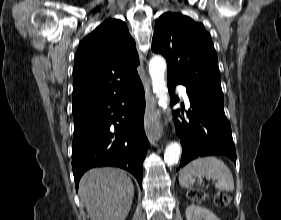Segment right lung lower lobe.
Segmentation results:
<instances>
[{
	"instance_id": "right-lung-lower-lobe-1",
	"label": "right lung lower lobe",
	"mask_w": 281,
	"mask_h": 220,
	"mask_svg": "<svg viewBox=\"0 0 281 220\" xmlns=\"http://www.w3.org/2000/svg\"><path fill=\"white\" fill-rule=\"evenodd\" d=\"M144 111L145 94L138 80L123 93L73 115L72 168L76 189L88 169L103 166L128 170L142 188L143 161L149 144L143 127Z\"/></svg>"
}]
</instances>
